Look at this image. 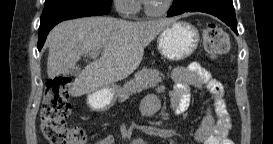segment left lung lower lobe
Instances as JSON below:
<instances>
[{
    "mask_svg": "<svg viewBox=\"0 0 273 144\" xmlns=\"http://www.w3.org/2000/svg\"><path fill=\"white\" fill-rule=\"evenodd\" d=\"M205 12L214 15L237 32V21L232 0H179L175 1L168 11V16L180 15L184 12Z\"/></svg>",
    "mask_w": 273,
    "mask_h": 144,
    "instance_id": "0a47b994",
    "label": "left lung lower lobe"
}]
</instances>
